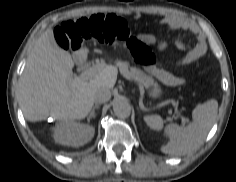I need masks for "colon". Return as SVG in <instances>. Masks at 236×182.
<instances>
[{
  "mask_svg": "<svg viewBox=\"0 0 236 182\" xmlns=\"http://www.w3.org/2000/svg\"><path fill=\"white\" fill-rule=\"evenodd\" d=\"M58 44L66 50H77L87 40L111 44L115 41H134L124 20L114 15L96 14L62 22L55 30ZM144 59V51L137 50Z\"/></svg>",
  "mask_w": 236,
  "mask_h": 182,
  "instance_id": "5ec220e1",
  "label": "colon"
}]
</instances>
